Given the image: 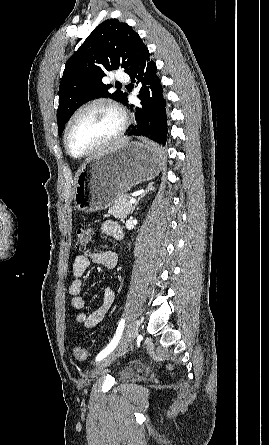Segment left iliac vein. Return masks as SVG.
<instances>
[{
  "instance_id": "left-iliac-vein-1",
  "label": "left iliac vein",
  "mask_w": 269,
  "mask_h": 445,
  "mask_svg": "<svg viewBox=\"0 0 269 445\" xmlns=\"http://www.w3.org/2000/svg\"><path fill=\"white\" fill-rule=\"evenodd\" d=\"M138 326L139 323L135 320L131 321L127 325L122 337L120 338L114 350L97 365L95 371L92 374V377H95L97 374H99L104 368L109 366L127 349V347L138 334Z\"/></svg>"
}]
</instances>
